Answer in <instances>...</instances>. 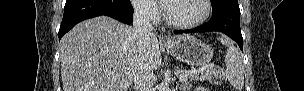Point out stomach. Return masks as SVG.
<instances>
[{
  "mask_svg": "<svg viewBox=\"0 0 304 91\" xmlns=\"http://www.w3.org/2000/svg\"><path fill=\"white\" fill-rule=\"evenodd\" d=\"M165 48L173 57L191 66L209 63L214 54L209 45L191 35L173 39Z\"/></svg>",
  "mask_w": 304,
  "mask_h": 91,
  "instance_id": "obj_1",
  "label": "stomach"
}]
</instances>
